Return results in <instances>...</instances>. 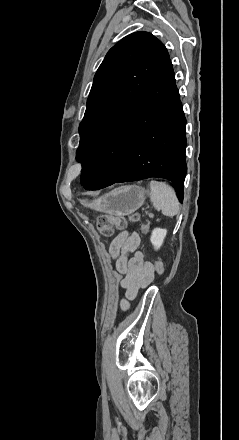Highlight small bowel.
Listing matches in <instances>:
<instances>
[{
	"label": "small bowel",
	"instance_id": "c3829d8e",
	"mask_svg": "<svg viewBox=\"0 0 239 440\" xmlns=\"http://www.w3.org/2000/svg\"><path fill=\"white\" fill-rule=\"evenodd\" d=\"M140 237L137 232L119 233L109 246V254L117 272L123 275L122 288L125 299L121 302L123 309L128 308L129 301L134 299L139 289L148 286L155 273L154 265L145 261L143 253L138 250Z\"/></svg>",
	"mask_w": 239,
	"mask_h": 440
}]
</instances>
